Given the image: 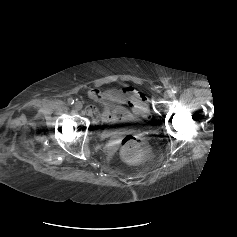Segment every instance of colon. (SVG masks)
Segmentation results:
<instances>
[{
  "label": "colon",
  "mask_w": 237,
  "mask_h": 237,
  "mask_svg": "<svg viewBox=\"0 0 237 237\" xmlns=\"http://www.w3.org/2000/svg\"><path fill=\"white\" fill-rule=\"evenodd\" d=\"M122 157L129 163H139L149 158L151 150L148 142L139 135H127L122 141Z\"/></svg>",
  "instance_id": "1"
}]
</instances>
